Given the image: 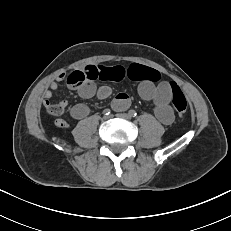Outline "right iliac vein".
Returning <instances> with one entry per match:
<instances>
[{
  "label": "right iliac vein",
  "instance_id": "right-iliac-vein-1",
  "mask_svg": "<svg viewBox=\"0 0 231 231\" xmlns=\"http://www.w3.org/2000/svg\"><path fill=\"white\" fill-rule=\"evenodd\" d=\"M109 117H107V116H104V119H108Z\"/></svg>",
  "mask_w": 231,
  "mask_h": 231
}]
</instances>
